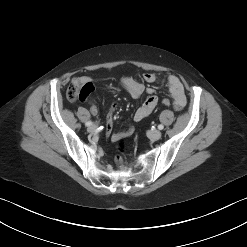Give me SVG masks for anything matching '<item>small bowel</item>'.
I'll list each match as a JSON object with an SVG mask.
<instances>
[{
    "label": "small bowel",
    "mask_w": 247,
    "mask_h": 247,
    "mask_svg": "<svg viewBox=\"0 0 247 247\" xmlns=\"http://www.w3.org/2000/svg\"><path fill=\"white\" fill-rule=\"evenodd\" d=\"M143 79L147 83H154L157 81L158 77L154 73H145L143 75ZM72 83L79 86L90 85L93 88L91 78L88 76L76 77L73 79ZM120 84L122 88L125 89L133 98H139L143 94L148 95L146 100L135 111L134 120L138 122L149 116L158 103V98L154 95V89L152 87H146L142 82L137 81L132 77H123L121 79ZM167 84L173 99L174 107L177 110L182 109L186 104V96H185L184 86L181 80L177 76L171 75L167 79ZM115 110H116V105H113L110 109V115L113 114ZM90 112L92 115L97 114L98 108L96 104L94 103L90 104ZM132 131L133 129L129 128L127 131L123 133L113 134L112 138L114 140H117L121 137L131 134ZM110 132H111V127L110 125H107L106 134L110 135Z\"/></svg>",
    "instance_id": "c3829d8e"
}]
</instances>
